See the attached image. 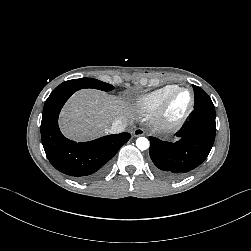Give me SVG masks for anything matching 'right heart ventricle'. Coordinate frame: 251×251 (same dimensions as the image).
I'll use <instances>...</instances> for the list:
<instances>
[{
  "label": "right heart ventricle",
  "mask_w": 251,
  "mask_h": 251,
  "mask_svg": "<svg viewBox=\"0 0 251 251\" xmlns=\"http://www.w3.org/2000/svg\"><path fill=\"white\" fill-rule=\"evenodd\" d=\"M176 87V85H167L140 96L134 103L135 109L142 115L154 113L164 98Z\"/></svg>",
  "instance_id": "1"
}]
</instances>
